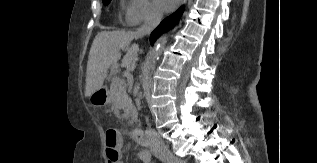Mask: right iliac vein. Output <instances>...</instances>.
<instances>
[{
	"label": "right iliac vein",
	"mask_w": 317,
	"mask_h": 163,
	"mask_svg": "<svg viewBox=\"0 0 317 163\" xmlns=\"http://www.w3.org/2000/svg\"><path fill=\"white\" fill-rule=\"evenodd\" d=\"M167 163H183V162H181V161H179V160H177V159L172 158V159H169V160L167 161Z\"/></svg>",
	"instance_id": "63e3f726"
}]
</instances>
